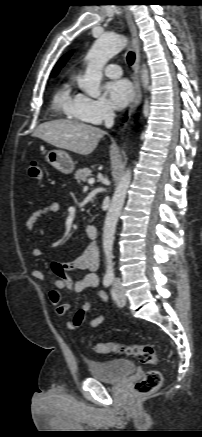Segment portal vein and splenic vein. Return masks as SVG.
<instances>
[{"instance_id":"obj_1","label":"portal vein and splenic vein","mask_w":202,"mask_h":437,"mask_svg":"<svg viewBox=\"0 0 202 437\" xmlns=\"http://www.w3.org/2000/svg\"><path fill=\"white\" fill-rule=\"evenodd\" d=\"M94 182H95V180L93 178L88 179L89 184H93Z\"/></svg>"}]
</instances>
